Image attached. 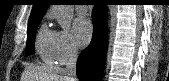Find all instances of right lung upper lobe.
<instances>
[{
    "label": "right lung upper lobe",
    "instance_id": "1",
    "mask_svg": "<svg viewBox=\"0 0 169 81\" xmlns=\"http://www.w3.org/2000/svg\"><path fill=\"white\" fill-rule=\"evenodd\" d=\"M49 4L50 0H34V5L29 17V23L41 20Z\"/></svg>",
    "mask_w": 169,
    "mask_h": 81
}]
</instances>
